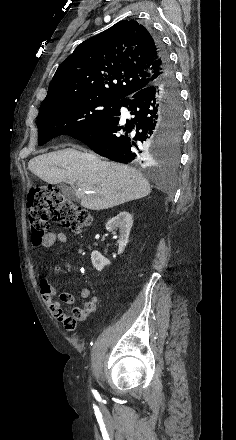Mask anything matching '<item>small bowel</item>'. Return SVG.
Masks as SVG:
<instances>
[{
  "label": "small bowel",
  "mask_w": 236,
  "mask_h": 440,
  "mask_svg": "<svg viewBox=\"0 0 236 440\" xmlns=\"http://www.w3.org/2000/svg\"><path fill=\"white\" fill-rule=\"evenodd\" d=\"M68 241V236L64 232H48L44 238L42 239L41 245L44 248H52L56 245V243L65 244ZM40 292L41 297L48 307L51 315H53L58 320H63L67 316H70L75 321H63L62 328L63 330H79L80 323L79 321L85 320L90 314L95 312L98 297L91 296L90 289L87 287L82 288L79 291V296L86 300L83 307L74 308L72 314L67 313L63 310L61 305L54 300L53 293L49 290V287L45 280L40 281ZM58 298L61 303L72 304L74 301V296L72 293L67 291H61L58 293Z\"/></svg>",
  "instance_id": "small-bowel-1"
}]
</instances>
